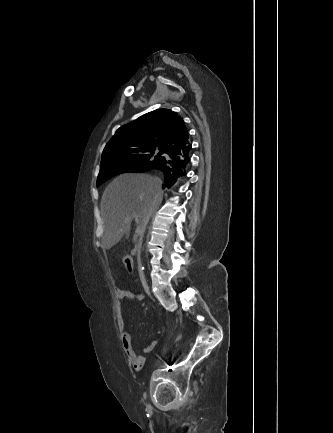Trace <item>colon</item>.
I'll list each match as a JSON object with an SVG mask.
<instances>
[{
    "label": "colon",
    "instance_id": "5ec220e1",
    "mask_svg": "<svg viewBox=\"0 0 333 433\" xmlns=\"http://www.w3.org/2000/svg\"><path fill=\"white\" fill-rule=\"evenodd\" d=\"M122 263H123L126 271L131 272L133 270V262H132L131 257H129V256L123 257Z\"/></svg>",
    "mask_w": 333,
    "mask_h": 433
}]
</instances>
